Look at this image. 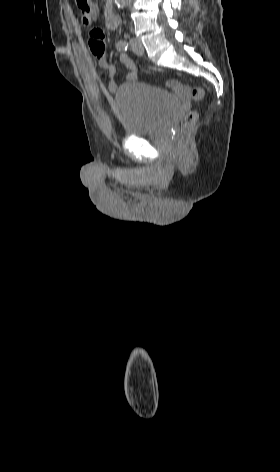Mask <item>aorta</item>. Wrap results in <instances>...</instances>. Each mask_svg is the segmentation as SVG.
I'll return each mask as SVG.
<instances>
[{"mask_svg": "<svg viewBox=\"0 0 280 472\" xmlns=\"http://www.w3.org/2000/svg\"><path fill=\"white\" fill-rule=\"evenodd\" d=\"M131 0H115V4L118 8L125 7Z\"/></svg>", "mask_w": 280, "mask_h": 472, "instance_id": "762f6f07", "label": "aorta"}]
</instances>
